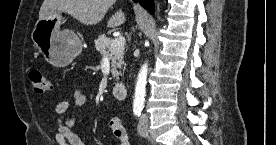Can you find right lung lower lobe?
Returning a JSON list of instances; mask_svg holds the SVG:
<instances>
[{
  "instance_id": "98d812e1",
  "label": "right lung lower lobe",
  "mask_w": 276,
  "mask_h": 145,
  "mask_svg": "<svg viewBox=\"0 0 276 145\" xmlns=\"http://www.w3.org/2000/svg\"><path fill=\"white\" fill-rule=\"evenodd\" d=\"M134 2H140V5L147 10H149L151 13L154 12V2L153 0H133Z\"/></svg>"
}]
</instances>
